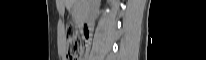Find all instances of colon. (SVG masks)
<instances>
[{"mask_svg": "<svg viewBox=\"0 0 206 60\" xmlns=\"http://www.w3.org/2000/svg\"><path fill=\"white\" fill-rule=\"evenodd\" d=\"M67 57L69 60H79L82 56L88 35L80 34L75 24H69L66 28Z\"/></svg>", "mask_w": 206, "mask_h": 60, "instance_id": "5ec220e1", "label": "colon"}]
</instances>
